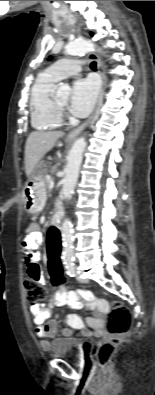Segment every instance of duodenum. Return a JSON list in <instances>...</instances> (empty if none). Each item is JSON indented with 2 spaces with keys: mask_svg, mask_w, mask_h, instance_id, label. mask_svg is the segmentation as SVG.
<instances>
[{
  "mask_svg": "<svg viewBox=\"0 0 155 395\" xmlns=\"http://www.w3.org/2000/svg\"><path fill=\"white\" fill-rule=\"evenodd\" d=\"M62 219H63V212L61 210H57L52 217L53 226L56 228L60 227Z\"/></svg>",
  "mask_w": 155,
  "mask_h": 395,
  "instance_id": "obj_1",
  "label": "duodenum"
}]
</instances>
